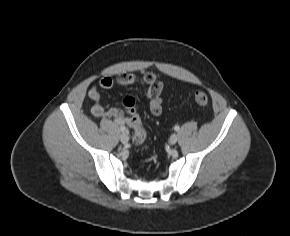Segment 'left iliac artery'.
<instances>
[{
	"instance_id": "obj_1",
	"label": "left iliac artery",
	"mask_w": 290,
	"mask_h": 236,
	"mask_svg": "<svg viewBox=\"0 0 290 236\" xmlns=\"http://www.w3.org/2000/svg\"><path fill=\"white\" fill-rule=\"evenodd\" d=\"M180 129V127L178 126V125H176L175 127H174V130L175 131H178Z\"/></svg>"
}]
</instances>
